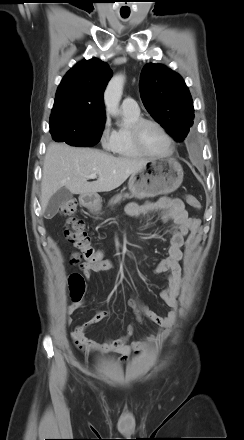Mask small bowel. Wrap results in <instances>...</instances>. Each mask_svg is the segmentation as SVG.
I'll use <instances>...</instances> for the list:
<instances>
[{
  "mask_svg": "<svg viewBox=\"0 0 244 440\" xmlns=\"http://www.w3.org/2000/svg\"><path fill=\"white\" fill-rule=\"evenodd\" d=\"M127 210L133 217H144L150 213L161 212V220L163 222L172 221L173 223L166 231L170 237L167 255L154 269L155 273L166 274L167 276V286L160 292V298L170 308L168 315L166 317L157 315L136 298H132L129 301V305L133 308L136 314L137 323H141L143 318L146 317L164 329L159 336L149 337V342H154L158 339L167 337L171 327L176 321V310L178 307L177 296L180 290L181 278V267L179 264L182 258L181 247L183 246L185 237L191 228L193 219L189 217L184 203L176 198L162 197L154 202H147L144 204L131 203L128 205ZM80 269L83 271L86 279H90L93 272L105 270L98 266H94L89 262L82 263ZM82 307H84L82 302H75L68 306V324H71L72 322L71 316ZM111 314L112 312L97 311L89 321L78 325L71 333V337L76 346L84 353L88 354L93 351H99L101 353L114 352L120 355L118 363L124 364L127 362L132 352L137 353L138 349L144 346V343L140 341H133L130 344L128 343L129 338L133 335L135 324H130L127 327L124 336L118 339H108L103 343H98L86 335V330L89 327L97 325Z\"/></svg>",
  "mask_w": 244,
  "mask_h": 440,
  "instance_id": "1",
  "label": "small bowel"
}]
</instances>
